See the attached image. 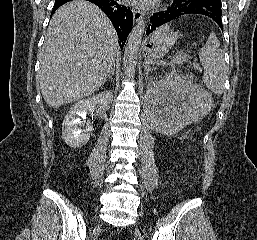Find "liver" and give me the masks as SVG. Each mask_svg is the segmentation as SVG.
Returning <instances> with one entry per match:
<instances>
[{
    "instance_id": "6515ba94",
    "label": "liver",
    "mask_w": 257,
    "mask_h": 240,
    "mask_svg": "<svg viewBox=\"0 0 257 240\" xmlns=\"http://www.w3.org/2000/svg\"><path fill=\"white\" fill-rule=\"evenodd\" d=\"M118 37L93 3L74 0L52 16L40 55L38 78L47 105L59 107L89 96L114 71Z\"/></svg>"
}]
</instances>
